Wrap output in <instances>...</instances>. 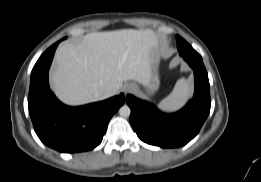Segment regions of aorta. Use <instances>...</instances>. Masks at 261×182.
<instances>
[{
	"label": "aorta",
	"mask_w": 261,
	"mask_h": 182,
	"mask_svg": "<svg viewBox=\"0 0 261 182\" xmlns=\"http://www.w3.org/2000/svg\"><path fill=\"white\" fill-rule=\"evenodd\" d=\"M131 113V110L129 108V106L127 105H123L120 109H119V114L122 117H129Z\"/></svg>",
	"instance_id": "1"
}]
</instances>
